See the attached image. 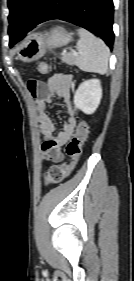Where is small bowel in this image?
Segmentation results:
<instances>
[{
    "label": "small bowel",
    "instance_id": "obj_1",
    "mask_svg": "<svg viewBox=\"0 0 134 281\" xmlns=\"http://www.w3.org/2000/svg\"><path fill=\"white\" fill-rule=\"evenodd\" d=\"M71 78L64 74H55L45 83L31 80L28 89L36 100L38 122L44 141L41 146L45 161L59 163L64 159L62 147L72 136L76 118L70 97ZM55 98L60 99L66 106L67 118L60 130H56L55 123L47 113V108Z\"/></svg>",
    "mask_w": 134,
    "mask_h": 281
}]
</instances>
